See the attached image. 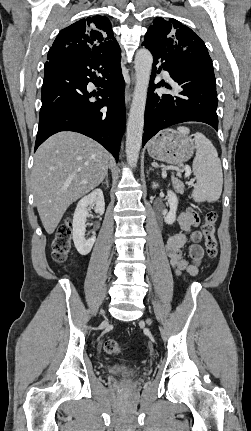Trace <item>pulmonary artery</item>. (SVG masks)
Here are the masks:
<instances>
[{
  "label": "pulmonary artery",
  "instance_id": "1",
  "mask_svg": "<svg viewBox=\"0 0 251 431\" xmlns=\"http://www.w3.org/2000/svg\"><path fill=\"white\" fill-rule=\"evenodd\" d=\"M163 74H164V76H165L166 78H168V79L170 78V75H169V73H168L167 71H164V72H163Z\"/></svg>",
  "mask_w": 251,
  "mask_h": 431
}]
</instances>
